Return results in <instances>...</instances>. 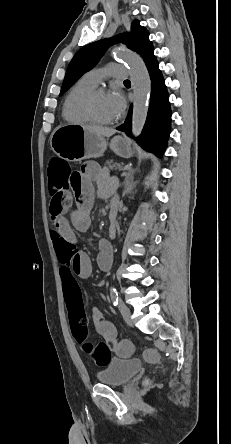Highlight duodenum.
<instances>
[{
    "instance_id": "obj_1",
    "label": "duodenum",
    "mask_w": 231,
    "mask_h": 444,
    "mask_svg": "<svg viewBox=\"0 0 231 444\" xmlns=\"http://www.w3.org/2000/svg\"><path fill=\"white\" fill-rule=\"evenodd\" d=\"M118 211L116 206H112L110 212H109V227L110 230L113 231L115 229L117 220H118Z\"/></svg>"
}]
</instances>
